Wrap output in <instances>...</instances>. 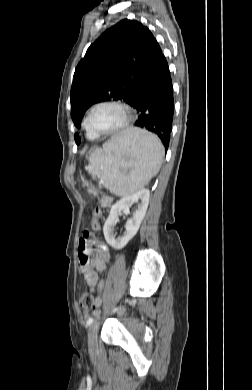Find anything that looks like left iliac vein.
<instances>
[{"instance_id":"1","label":"left iliac vein","mask_w":252,"mask_h":390,"mask_svg":"<svg viewBox=\"0 0 252 390\" xmlns=\"http://www.w3.org/2000/svg\"><path fill=\"white\" fill-rule=\"evenodd\" d=\"M98 322H94L88 329V351L94 353L97 349Z\"/></svg>"}]
</instances>
